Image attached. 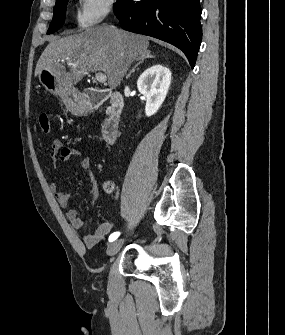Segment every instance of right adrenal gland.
<instances>
[{
  "instance_id": "2a0ac1e0",
  "label": "right adrenal gland",
  "mask_w": 285,
  "mask_h": 335,
  "mask_svg": "<svg viewBox=\"0 0 285 335\" xmlns=\"http://www.w3.org/2000/svg\"><path fill=\"white\" fill-rule=\"evenodd\" d=\"M150 58H155V56H151V54H145V56H141V58H139V60H136L137 64H135L134 68H132V70H130L129 74H127L126 78H130L131 74H133V72H135L136 68H138V66H140V64H143V62H145V60H150Z\"/></svg>"
}]
</instances>
